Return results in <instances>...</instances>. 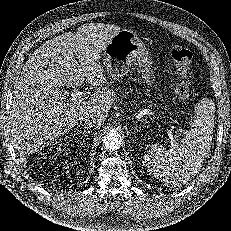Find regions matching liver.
Wrapping results in <instances>:
<instances>
[{
  "mask_svg": "<svg viewBox=\"0 0 231 231\" xmlns=\"http://www.w3.org/2000/svg\"><path fill=\"white\" fill-rule=\"evenodd\" d=\"M120 30L111 24H84L74 33L65 32L44 42L29 57L8 121L10 142L20 158L47 146L85 114L96 118L97 128L104 124L114 92L105 86L100 52ZM85 80L98 87L96 91L81 101L66 103L61 87H78Z\"/></svg>",
  "mask_w": 231,
  "mask_h": 231,
  "instance_id": "liver-1",
  "label": "liver"
}]
</instances>
